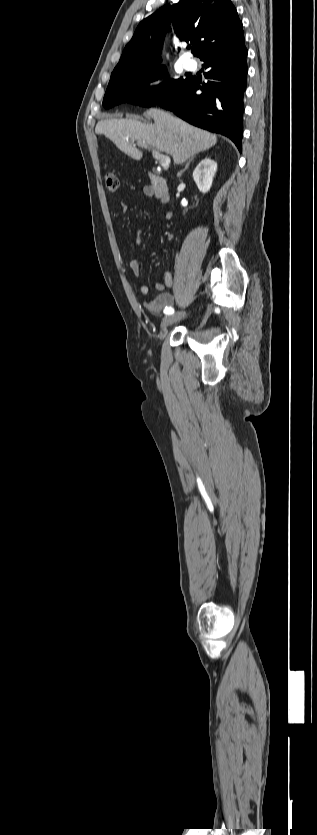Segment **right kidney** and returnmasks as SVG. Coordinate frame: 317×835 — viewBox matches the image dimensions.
I'll return each instance as SVG.
<instances>
[{
  "label": "right kidney",
  "mask_w": 317,
  "mask_h": 835,
  "mask_svg": "<svg viewBox=\"0 0 317 835\" xmlns=\"http://www.w3.org/2000/svg\"><path fill=\"white\" fill-rule=\"evenodd\" d=\"M217 163L210 159H203L193 172V179L202 193H207L212 185Z\"/></svg>",
  "instance_id": "right-kidney-1"
}]
</instances>
